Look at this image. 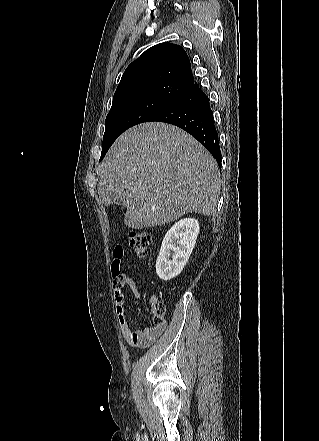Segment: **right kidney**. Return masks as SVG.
Masks as SVG:
<instances>
[{
  "mask_svg": "<svg viewBox=\"0 0 319 441\" xmlns=\"http://www.w3.org/2000/svg\"><path fill=\"white\" fill-rule=\"evenodd\" d=\"M199 222L184 218L176 222L166 233L156 261V273L164 281L181 273L195 246Z\"/></svg>",
  "mask_w": 319,
  "mask_h": 441,
  "instance_id": "right-kidney-1",
  "label": "right kidney"
}]
</instances>
